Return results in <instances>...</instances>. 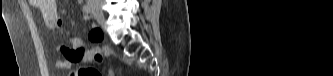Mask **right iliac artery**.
Here are the masks:
<instances>
[{
	"mask_svg": "<svg viewBox=\"0 0 333 76\" xmlns=\"http://www.w3.org/2000/svg\"><path fill=\"white\" fill-rule=\"evenodd\" d=\"M84 11H85L86 13H90V11H91L90 3H88L87 5L84 6Z\"/></svg>",
	"mask_w": 333,
	"mask_h": 76,
	"instance_id": "obj_1",
	"label": "right iliac artery"
}]
</instances>
